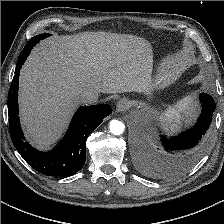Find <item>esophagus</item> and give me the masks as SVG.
Masks as SVG:
<instances>
[{
    "mask_svg": "<svg viewBox=\"0 0 224 224\" xmlns=\"http://www.w3.org/2000/svg\"><path fill=\"white\" fill-rule=\"evenodd\" d=\"M130 103L126 98H121L117 103H116V110L117 112H124L127 109H129Z\"/></svg>",
    "mask_w": 224,
    "mask_h": 224,
    "instance_id": "34e87169",
    "label": "esophagus"
}]
</instances>
